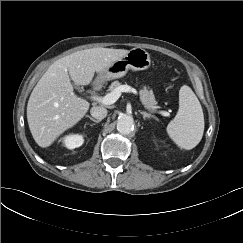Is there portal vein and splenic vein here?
<instances>
[{
	"mask_svg": "<svg viewBox=\"0 0 243 243\" xmlns=\"http://www.w3.org/2000/svg\"><path fill=\"white\" fill-rule=\"evenodd\" d=\"M122 92L136 93V90L133 87L129 86V85H121L118 88H116L114 91H112L111 93L106 94L103 97L92 95L90 97V99L95 101V102L104 104V105H111V104L115 103L119 99V97L121 96ZM158 113L163 115V116H170L169 112H167V111H158Z\"/></svg>",
	"mask_w": 243,
	"mask_h": 243,
	"instance_id": "18ae733b",
	"label": "portal vein and splenic vein"
}]
</instances>
